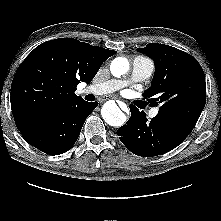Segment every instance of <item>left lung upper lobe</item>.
Returning a JSON list of instances; mask_svg holds the SVG:
<instances>
[{
	"label": "left lung upper lobe",
	"mask_w": 221,
	"mask_h": 221,
	"mask_svg": "<svg viewBox=\"0 0 221 221\" xmlns=\"http://www.w3.org/2000/svg\"><path fill=\"white\" fill-rule=\"evenodd\" d=\"M137 50L155 63L152 85L143 96L151 105L160 106V117L188 136L206 103L202 67L190 54L168 45L149 43Z\"/></svg>",
	"instance_id": "5c2ea615"
}]
</instances>
